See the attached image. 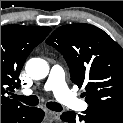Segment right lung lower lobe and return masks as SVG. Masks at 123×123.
<instances>
[{
    "mask_svg": "<svg viewBox=\"0 0 123 123\" xmlns=\"http://www.w3.org/2000/svg\"><path fill=\"white\" fill-rule=\"evenodd\" d=\"M43 117V110L26 106L2 114L1 123H40Z\"/></svg>",
    "mask_w": 123,
    "mask_h": 123,
    "instance_id": "right-lung-lower-lobe-1",
    "label": "right lung lower lobe"
}]
</instances>
